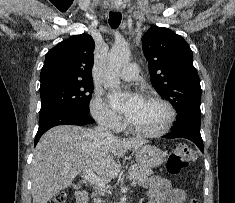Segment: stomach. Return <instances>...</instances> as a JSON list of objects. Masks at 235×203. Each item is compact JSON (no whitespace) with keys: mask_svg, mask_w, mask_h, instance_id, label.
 <instances>
[{"mask_svg":"<svg viewBox=\"0 0 235 203\" xmlns=\"http://www.w3.org/2000/svg\"><path fill=\"white\" fill-rule=\"evenodd\" d=\"M137 162L141 166L154 168L161 165L165 160V152L152 145H142L134 148Z\"/></svg>","mask_w":235,"mask_h":203,"instance_id":"stomach-1","label":"stomach"}]
</instances>
